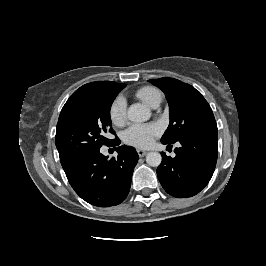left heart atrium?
Returning a JSON list of instances; mask_svg holds the SVG:
<instances>
[{
  "label": "left heart atrium",
  "mask_w": 266,
  "mask_h": 266,
  "mask_svg": "<svg viewBox=\"0 0 266 266\" xmlns=\"http://www.w3.org/2000/svg\"><path fill=\"white\" fill-rule=\"evenodd\" d=\"M159 134L160 127L156 123L133 124L124 132L123 139L130 146L147 148Z\"/></svg>",
  "instance_id": "1"
}]
</instances>
